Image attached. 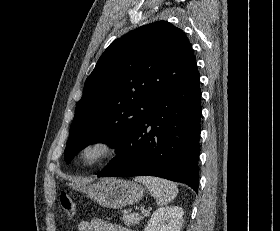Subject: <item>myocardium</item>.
I'll use <instances>...</instances> for the list:
<instances>
[{"instance_id":"obj_1","label":"myocardium","mask_w":280,"mask_h":231,"mask_svg":"<svg viewBox=\"0 0 280 231\" xmlns=\"http://www.w3.org/2000/svg\"><path fill=\"white\" fill-rule=\"evenodd\" d=\"M97 143H102L107 146V153L105 157L96 165L93 166H84L81 163V157L83 152L91 145L97 144ZM122 150V144L121 141L119 140L118 137L111 135V134H103V135H98L95 137L90 138L87 140L83 145L79 148L77 152V163L78 165L86 170V171H94L97 170L106 164H108L111 160L115 159L121 152Z\"/></svg>"}]
</instances>
